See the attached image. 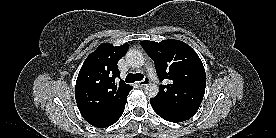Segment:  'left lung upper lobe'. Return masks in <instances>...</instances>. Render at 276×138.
I'll return each instance as SVG.
<instances>
[{"label":"left lung upper lobe","mask_w":276,"mask_h":138,"mask_svg":"<svg viewBox=\"0 0 276 138\" xmlns=\"http://www.w3.org/2000/svg\"><path fill=\"white\" fill-rule=\"evenodd\" d=\"M141 46L155 63L160 85L151 101L179 114L193 116L205 93L206 73L197 53L186 43L169 39L161 42L141 41Z\"/></svg>","instance_id":"obj_1"}]
</instances>
